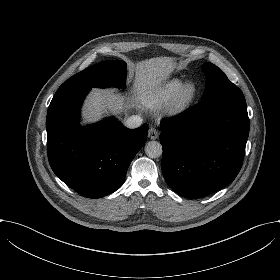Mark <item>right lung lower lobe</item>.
<instances>
[{
	"label": "right lung lower lobe",
	"mask_w": 280,
	"mask_h": 280,
	"mask_svg": "<svg viewBox=\"0 0 280 280\" xmlns=\"http://www.w3.org/2000/svg\"><path fill=\"white\" fill-rule=\"evenodd\" d=\"M88 86H60L47 112V154L54 173L87 198L119 189L127 169L146 142L148 125L127 129L114 118L79 125Z\"/></svg>",
	"instance_id": "obj_1"
}]
</instances>
